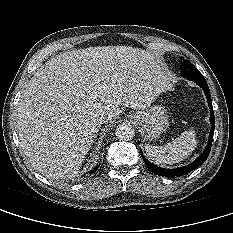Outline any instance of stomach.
Wrapping results in <instances>:
<instances>
[{
  "instance_id": "stomach-1",
  "label": "stomach",
  "mask_w": 233,
  "mask_h": 233,
  "mask_svg": "<svg viewBox=\"0 0 233 233\" xmlns=\"http://www.w3.org/2000/svg\"><path fill=\"white\" fill-rule=\"evenodd\" d=\"M141 127L144 138L152 141L157 139L169 126V116L164 107L154 105L128 115Z\"/></svg>"
}]
</instances>
